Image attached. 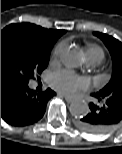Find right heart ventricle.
Listing matches in <instances>:
<instances>
[{
  "mask_svg": "<svg viewBox=\"0 0 122 154\" xmlns=\"http://www.w3.org/2000/svg\"><path fill=\"white\" fill-rule=\"evenodd\" d=\"M93 56L98 57L101 60L104 58L103 50L97 45H90L86 48V57Z\"/></svg>",
  "mask_w": 122,
  "mask_h": 154,
  "instance_id": "right-heart-ventricle-1",
  "label": "right heart ventricle"
}]
</instances>
